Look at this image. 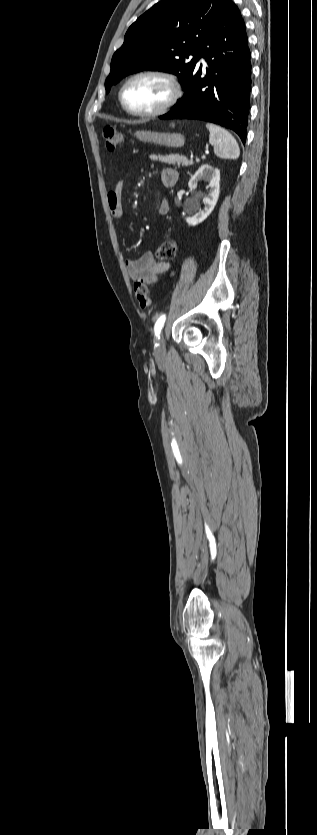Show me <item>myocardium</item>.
Segmentation results:
<instances>
[{
  "label": "myocardium",
  "mask_w": 317,
  "mask_h": 835,
  "mask_svg": "<svg viewBox=\"0 0 317 835\" xmlns=\"http://www.w3.org/2000/svg\"><path fill=\"white\" fill-rule=\"evenodd\" d=\"M141 77H157V78L163 80L168 85L169 90H170L169 97L157 109H154L152 111L140 112V111H134L126 105V103L124 101V97H123V93H124L125 88L132 81H134L135 79L141 78ZM182 94H183L182 87H181L180 82L176 78V76H174L173 74H171L169 72L163 71V70L146 69V70H142V71H139V72H136V73L132 74L130 77H128L123 82V84L121 85V87L119 89V92H118V99H119V102H120L122 108L127 113H129L130 115L136 116V117H143V118H153V117H158V116H161V115L166 114L167 112H169L178 103V101L182 97Z\"/></svg>",
  "instance_id": "myocardium-1"
}]
</instances>
